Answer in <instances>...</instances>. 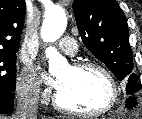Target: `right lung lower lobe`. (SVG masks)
Masks as SVG:
<instances>
[{
  "mask_svg": "<svg viewBox=\"0 0 142 119\" xmlns=\"http://www.w3.org/2000/svg\"><path fill=\"white\" fill-rule=\"evenodd\" d=\"M15 93H0V114H10L13 110Z\"/></svg>",
  "mask_w": 142,
  "mask_h": 119,
  "instance_id": "obj_1",
  "label": "right lung lower lobe"
}]
</instances>
